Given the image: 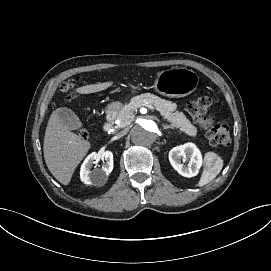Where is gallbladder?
Masks as SVG:
<instances>
[{"instance_id": "obj_1", "label": "gallbladder", "mask_w": 271, "mask_h": 271, "mask_svg": "<svg viewBox=\"0 0 271 271\" xmlns=\"http://www.w3.org/2000/svg\"><path fill=\"white\" fill-rule=\"evenodd\" d=\"M57 113L60 117V120L68 130H80L83 129V123L80 118L68 108L57 109Z\"/></svg>"}]
</instances>
